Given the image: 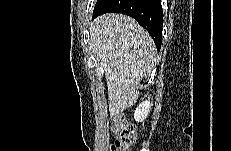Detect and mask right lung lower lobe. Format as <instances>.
<instances>
[{
    "label": "right lung lower lobe",
    "instance_id": "obj_1",
    "mask_svg": "<svg viewBox=\"0 0 231 151\" xmlns=\"http://www.w3.org/2000/svg\"><path fill=\"white\" fill-rule=\"evenodd\" d=\"M110 12L133 17L149 32L160 51L163 27V11L160 0H97L92 19Z\"/></svg>",
    "mask_w": 231,
    "mask_h": 151
}]
</instances>
